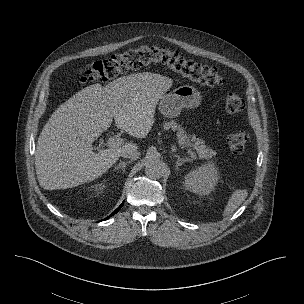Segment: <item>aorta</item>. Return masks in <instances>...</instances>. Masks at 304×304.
<instances>
[{"mask_svg": "<svg viewBox=\"0 0 304 304\" xmlns=\"http://www.w3.org/2000/svg\"><path fill=\"white\" fill-rule=\"evenodd\" d=\"M165 171L164 163L156 158H151L147 161L145 166V173L148 177L157 179L163 176Z\"/></svg>", "mask_w": 304, "mask_h": 304, "instance_id": "aorta-1", "label": "aorta"}]
</instances>
